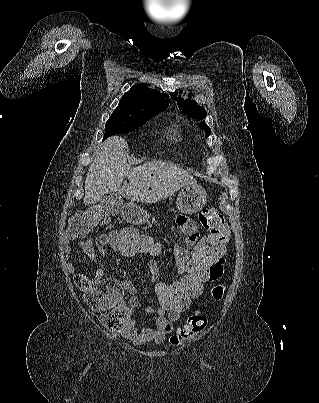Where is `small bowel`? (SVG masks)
Instances as JSON below:
<instances>
[{
	"label": "small bowel",
	"instance_id": "small-bowel-1",
	"mask_svg": "<svg viewBox=\"0 0 319 403\" xmlns=\"http://www.w3.org/2000/svg\"><path fill=\"white\" fill-rule=\"evenodd\" d=\"M176 223L187 236V239H183L181 244H176L173 250L177 270L180 275H183L182 269L186 266V258H189V251L186 248H190L194 242H198L200 235L195 223L186 216H178ZM70 238L72 237L70 236ZM90 248L104 249L98 236L92 237ZM70 249L71 247L66 245L68 258L70 257ZM87 253L94 262L93 252ZM149 255L154 256L155 254ZM222 264L221 259L210 264V280L212 283L222 282ZM67 269L75 278L79 276L71 263L67 264ZM150 270L153 274V281L160 282L157 281L159 268H150ZM103 276V269L97 267L93 278H86L89 285L85 297L89 309H102L101 321L104 328L108 329V335H121L135 344L149 341L162 342L166 335L172 331L173 323L180 318L181 313H156V308L147 307L146 312L156 316V327H139L133 320V308L138 304L137 287L134 282L126 278L119 285L118 279H102ZM125 292L128 295H124ZM158 292L155 291V295H158Z\"/></svg>",
	"mask_w": 319,
	"mask_h": 403
}]
</instances>
